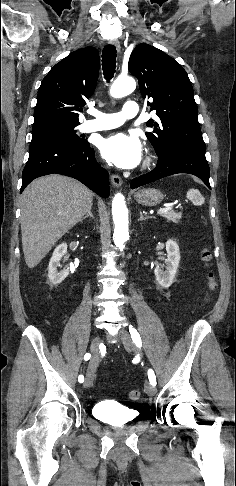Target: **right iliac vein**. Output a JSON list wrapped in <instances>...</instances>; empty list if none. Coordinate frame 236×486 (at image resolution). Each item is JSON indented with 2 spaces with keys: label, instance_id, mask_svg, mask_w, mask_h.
I'll use <instances>...</instances> for the list:
<instances>
[{
  "label": "right iliac vein",
  "instance_id": "right-iliac-vein-1",
  "mask_svg": "<svg viewBox=\"0 0 236 486\" xmlns=\"http://www.w3.org/2000/svg\"><path fill=\"white\" fill-rule=\"evenodd\" d=\"M99 344H100V337L95 336L93 338L92 342H91V345H90V351H91L92 357H91V360H90V363H89V367H88L87 374H86V379H85V382H84L85 388H89L93 384L96 366H97V361H98V357H99Z\"/></svg>",
  "mask_w": 236,
  "mask_h": 486
}]
</instances>
